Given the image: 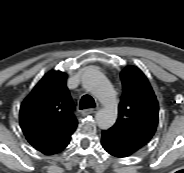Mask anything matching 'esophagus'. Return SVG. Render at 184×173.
<instances>
[{
  "instance_id": "1",
  "label": "esophagus",
  "mask_w": 184,
  "mask_h": 173,
  "mask_svg": "<svg viewBox=\"0 0 184 173\" xmlns=\"http://www.w3.org/2000/svg\"><path fill=\"white\" fill-rule=\"evenodd\" d=\"M97 111H98V108L97 107L96 108H87V109L82 110L81 111V114L83 116H85V115H88V114L96 113Z\"/></svg>"
}]
</instances>
